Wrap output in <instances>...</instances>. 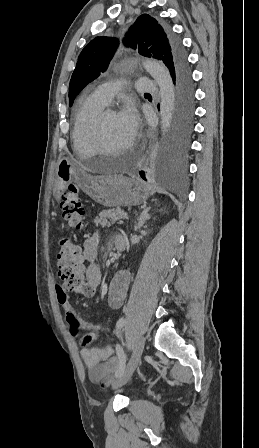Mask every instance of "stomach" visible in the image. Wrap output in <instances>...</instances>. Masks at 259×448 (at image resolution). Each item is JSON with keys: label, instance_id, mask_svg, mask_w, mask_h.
<instances>
[{"label": "stomach", "instance_id": "obj_1", "mask_svg": "<svg viewBox=\"0 0 259 448\" xmlns=\"http://www.w3.org/2000/svg\"><path fill=\"white\" fill-rule=\"evenodd\" d=\"M76 174V166L69 158H60L56 168V178L53 184V196L58 200L73 182Z\"/></svg>", "mask_w": 259, "mask_h": 448}]
</instances>
